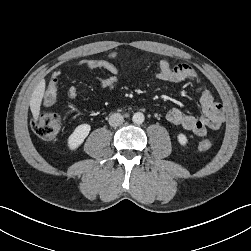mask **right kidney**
<instances>
[{
	"label": "right kidney",
	"instance_id": "right-kidney-1",
	"mask_svg": "<svg viewBox=\"0 0 251 251\" xmlns=\"http://www.w3.org/2000/svg\"><path fill=\"white\" fill-rule=\"evenodd\" d=\"M91 130V126L89 124H81L78 125L73 133L68 137L67 146L70 150H76L88 136Z\"/></svg>",
	"mask_w": 251,
	"mask_h": 251
}]
</instances>
